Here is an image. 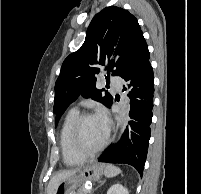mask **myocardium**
<instances>
[{"label": "myocardium", "mask_w": 201, "mask_h": 194, "mask_svg": "<svg viewBox=\"0 0 201 194\" xmlns=\"http://www.w3.org/2000/svg\"><path fill=\"white\" fill-rule=\"evenodd\" d=\"M91 117H94L92 113L85 112V113L79 114L73 123L72 131H71L72 147L76 153H78L84 158H89V157H93L97 155L99 152H101L105 148V146L107 145L109 141V136L107 134L103 142L95 149L88 150L84 148L82 144V140H81V128L84 121Z\"/></svg>", "instance_id": "f54148a6"}]
</instances>
